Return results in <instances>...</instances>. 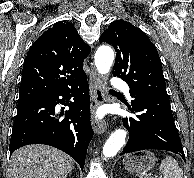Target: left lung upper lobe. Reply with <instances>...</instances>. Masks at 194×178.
I'll use <instances>...</instances> for the list:
<instances>
[{
  "instance_id": "1",
  "label": "left lung upper lobe",
  "mask_w": 194,
  "mask_h": 178,
  "mask_svg": "<svg viewBox=\"0 0 194 178\" xmlns=\"http://www.w3.org/2000/svg\"><path fill=\"white\" fill-rule=\"evenodd\" d=\"M99 41L115 48L113 75L123 79L130 90L167 94L158 52L142 30L124 20L114 21Z\"/></svg>"
}]
</instances>
